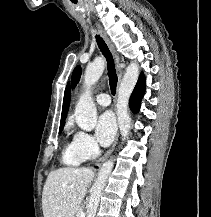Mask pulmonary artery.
I'll use <instances>...</instances> for the list:
<instances>
[{"label":"pulmonary artery","mask_w":211,"mask_h":217,"mask_svg":"<svg viewBox=\"0 0 211 217\" xmlns=\"http://www.w3.org/2000/svg\"><path fill=\"white\" fill-rule=\"evenodd\" d=\"M96 102L98 105L102 107H106L110 104L111 99L110 96L106 93H101L96 96Z\"/></svg>","instance_id":"e3ab8cb5"}]
</instances>
